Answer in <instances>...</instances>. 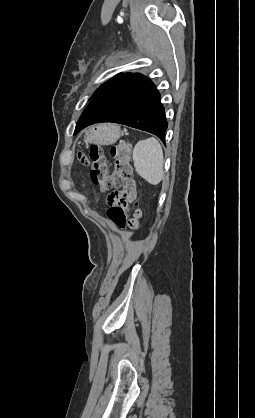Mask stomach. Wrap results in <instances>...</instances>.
I'll use <instances>...</instances> for the list:
<instances>
[{
	"instance_id": "stomach-1",
	"label": "stomach",
	"mask_w": 255,
	"mask_h": 418,
	"mask_svg": "<svg viewBox=\"0 0 255 418\" xmlns=\"http://www.w3.org/2000/svg\"><path fill=\"white\" fill-rule=\"evenodd\" d=\"M120 135V129L117 126L103 124L86 131L85 140L98 145H110L115 143Z\"/></svg>"
}]
</instances>
